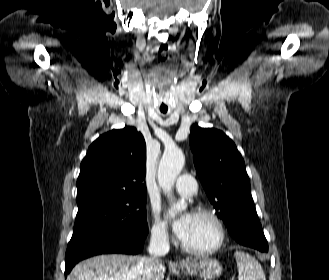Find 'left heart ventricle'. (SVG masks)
Masks as SVG:
<instances>
[{
  "instance_id": "b2bd125f",
  "label": "left heart ventricle",
  "mask_w": 329,
  "mask_h": 280,
  "mask_svg": "<svg viewBox=\"0 0 329 280\" xmlns=\"http://www.w3.org/2000/svg\"><path fill=\"white\" fill-rule=\"evenodd\" d=\"M216 240V229L210 220L193 214L186 236L182 241L193 248H206Z\"/></svg>"
}]
</instances>
